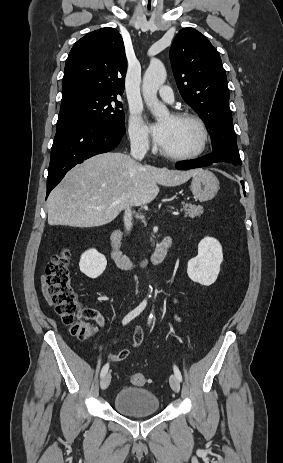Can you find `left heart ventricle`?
<instances>
[{
	"label": "left heart ventricle",
	"instance_id": "1",
	"mask_svg": "<svg viewBox=\"0 0 283 463\" xmlns=\"http://www.w3.org/2000/svg\"><path fill=\"white\" fill-rule=\"evenodd\" d=\"M162 123L167 126V136L160 149L172 154H186L198 148L201 136L193 122L166 117Z\"/></svg>",
	"mask_w": 283,
	"mask_h": 463
}]
</instances>
